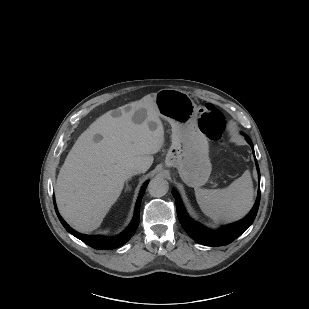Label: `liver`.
I'll use <instances>...</instances> for the list:
<instances>
[{"instance_id": "6515ba94", "label": "liver", "mask_w": 309, "mask_h": 309, "mask_svg": "<svg viewBox=\"0 0 309 309\" xmlns=\"http://www.w3.org/2000/svg\"><path fill=\"white\" fill-rule=\"evenodd\" d=\"M156 93L100 116L73 145L55 186L61 215L77 231L97 229L123 188L126 172H146L162 148L164 127L155 104ZM146 113L141 123L133 117Z\"/></svg>"}]
</instances>
